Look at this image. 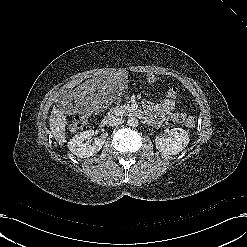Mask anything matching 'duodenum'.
<instances>
[{
	"instance_id": "duodenum-1",
	"label": "duodenum",
	"mask_w": 247,
	"mask_h": 247,
	"mask_svg": "<svg viewBox=\"0 0 247 247\" xmlns=\"http://www.w3.org/2000/svg\"><path fill=\"white\" fill-rule=\"evenodd\" d=\"M144 103H145V102H144ZM113 118H114V117L107 116V117L101 122L102 127L107 126V125L113 120Z\"/></svg>"
}]
</instances>
